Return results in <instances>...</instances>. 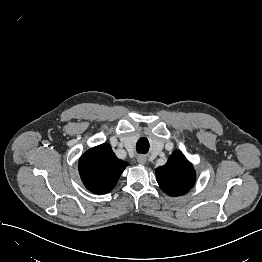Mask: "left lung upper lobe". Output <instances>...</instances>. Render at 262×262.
<instances>
[{"label": "left lung upper lobe", "instance_id": "left-lung-upper-lobe-1", "mask_svg": "<svg viewBox=\"0 0 262 262\" xmlns=\"http://www.w3.org/2000/svg\"><path fill=\"white\" fill-rule=\"evenodd\" d=\"M156 178L160 188L170 196L187 193L195 182L192 164L181 151H174L164 166L156 169Z\"/></svg>", "mask_w": 262, "mask_h": 262}]
</instances>
